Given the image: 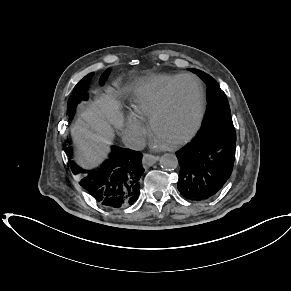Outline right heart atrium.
<instances>
[{
    "label": "right heart atrium",
    "mask_w": 291,
    "mask_h": 291,
    "mask_svg": "<svg viewBox=\"0 0 291 291\" xmlns=\"http://www.w3.org/2000/svg\"><path fill=\"white\" fill-rule=\"evenodd\" d=\"M146 133L147 127L141 120L134 116H128L126 118L124 134L127 139H130L133 142H140Z\"/></svg>",
    "instance_id": "right-heart-atrium-1"
}]
</instances>
